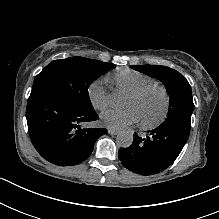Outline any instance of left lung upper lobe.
<instances>
[{
    "label": "left lung upper lobe",
    "mask_w": 219,
    "mask_h": 219,
    "mask_svg": "<svg viewBox=\"0 0 219 219\" xmlns=\"http://www.w3.org/2000/svg\"><path fill=\"white\" fill-rule=\"evenodd\" d=\"M132 69L160 80L169 94L168 117L162 124L180 123L190 127L194 110L191 87L179 72L165 66L133 65Z\"/></svg>",
    "instance_id": "5c2ea615"
}]
</instances>
